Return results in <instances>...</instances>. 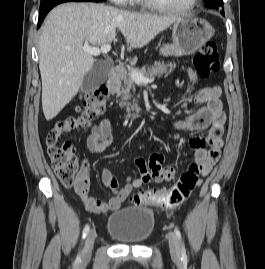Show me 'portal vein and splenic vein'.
<instances>
[{
  "label": "portal vein and splenic vein",
  "mask_w": 265,
  "mask_h": 269,
  "mask_svg": "<svg viewBox=\"0 0 265 269\" xmlns=\"http://www.w3.org/2000/svg\"><path fill=\"white\" fill-rule=\"evenodd\" d=\"M82 50L86 53H89L90 55L98 56L101 53H108L111 50V45L104 44L100 48L99 47H91V46L86 45V46L82 47ZM130 76L132 77V79L136 83L148 84V83H152L154 81L153 78H147L137 70H132L130 73Z\"/></svg>",
  "instance_id": "1"
}]
</instances>
